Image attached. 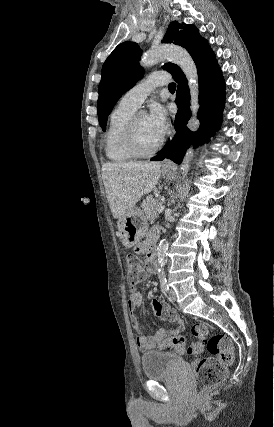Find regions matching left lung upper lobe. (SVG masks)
Returning a JSON list of instances; mask_svg holds the SVG:
<instances>
[{"label":"left lung upper lobe","mask_w":274,"mask_h":427,"mask_svg":"<svg viewBox=\"0 0 274 427\" xmlns=\"http://www.w3.org/2000/svg\"><path fill=\"white\" fill-rule=\"evenodd\" d=\"M202 40L205 39L200 36L194 25L174 21L169 25L162 42L180 45L191 53ZM140 56L141 50L136 43L123 42L114 49L103 64L98 98V119L103 131H105L107 117L117 100L142 78L143 70L138 63ZM163 69L172 75L180 70L172 63L165 64Z\"/></svg>","instance_id":"5c2ea615"}]
</instances>
